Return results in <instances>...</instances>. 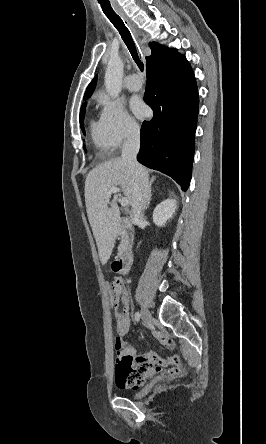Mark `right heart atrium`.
<instances>
[{"instance_id":"d8ad5b80","label":"right heart atrium","mask_w":266,"mask_h":444,"mask_svg":"<svg viewBox=\"0 0 266 444\" xmlns=\"http://www.w3.org/2000/svg\"><path fill=\"white\" fill-rule=\"evenodd\" d=\"M102 106L100 122L112 148H120L125 142L138 136L140 127L122 102L102 100Z\"/></svg>"}]
</instances>
